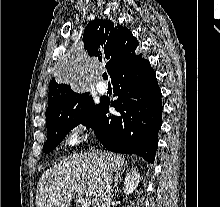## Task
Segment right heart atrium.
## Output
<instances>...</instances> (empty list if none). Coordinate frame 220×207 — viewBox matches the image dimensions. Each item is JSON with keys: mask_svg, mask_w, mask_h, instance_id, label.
<instances>
[{"mask_svg": "<svg viewBox=\"0 0 220 207\" xmlns=\"http://www.w3.org/2000/svg\"><path fill=\"white\" fill-rule=\"evenodd\" d=\"M89 133L88 125L84 120H76L68 129L64 143L66 146L74 147L78 145Z\"/></svg>", "mask_w": 220, "mask_h": 207, "instance_id": "d8ad5b80", "label": "right heart atrium"}]
</instances>
